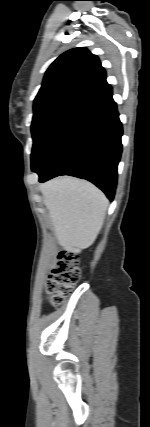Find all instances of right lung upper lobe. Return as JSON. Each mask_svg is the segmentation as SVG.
<instances>
[{"instance_id": "1", "label": "right lung upper lobe", "mask_w": 150, "mask_h": 427, "mask_svg": "<svg viewBox=\"0 0 150 427\" xmlns=\"http://www.w3.org/2000/svg\"><path fill=\"white\" fill-rule=\"evenodd\" d=\"M110 90L98 57L84 47L74 48L50 65L33 109L38 111L53 106L81 109Z\"/></svg>"}]
</instances>
